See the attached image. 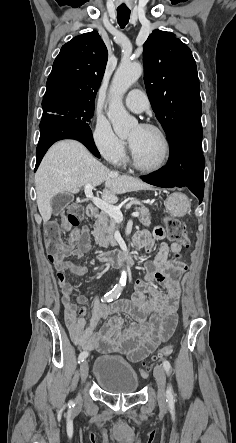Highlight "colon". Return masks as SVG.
<instances>
[{
    "instance_id": "colon-1",
    "label": "colon",
    "mask_w": 236,
    "mask_h": 443,
    "mask_svg": "<svg viewBox=\"0 0 236 443\" xmlns=\"http://www.w3.org/2000/svg\"><path fill=\"white\" fill-rule=\"evenodd\" d=\"M66 212H67V217H66L67 225L65 227L78 226L79 219L82 216L81 206L77 203H70L67 206ZM164 223H165V229L159 227L161 228V231L157 232L158 235L160 234L164 235L166 233L167 237L174 243L184 247L188 246L189 241L186 234V227L183 222H181L176 218L167 216L164 219ZM61 229L62 227L56 222L49 223L46 229V241H47V249L49 255L51 256V258L57 261H62L67 255V253L62 247V244L59 242ZM174 347H175L174 343L170 342L160 350L154 352L151 355L150 359L152 361H155L162 357L169 356L173 353ZM121 351H123V349L112 348L108 350L106 353L119 354ZM140 374L144 378L149 375V363L143 364Z\"/></svg>"
}]
</instances>
